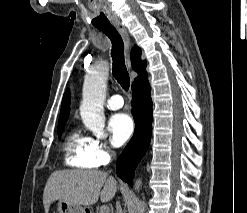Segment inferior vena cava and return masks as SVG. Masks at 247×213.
<instances>
[{"label":"inferior vena cava","instance_id":"602c4592","mask_svg":"<svg viewBox=\"0 0 247 213\" xmlns=\"http://www.w3.org/2000/svg\"><path fill=\"white\" fill-rule=\"evenodd\" d=\"M112 156H114L113 152H112ZM116 213H122V208L119 202L116 203Z\"/></svg>","mask_w":247,"mask_h":213}]
</instances>
